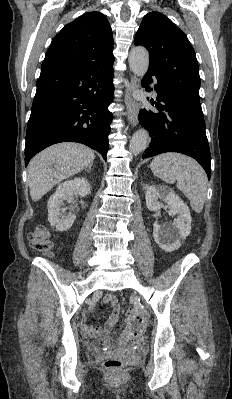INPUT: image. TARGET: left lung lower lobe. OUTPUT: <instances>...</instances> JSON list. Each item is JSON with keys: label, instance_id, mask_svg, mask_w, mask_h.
I'll return each instance as SVG.
<instances>
[{"label": "left lung lower lobe", "instance_id": "0a47b994", "mask_svg": "<svg viewBox=\"0 0 232 399\" xmlns=\"http://www.w3.org/2000/svg\"><path fill=\"white\" fill-rule=\"evenodd\" d=\"M152 76L157 79V102L151 99L150 103L159 112L156 113L152 108H144L139 112V122L151 136L150 145L142 158L164 152L183 153L196 159L210 179L211 155L203 115L197 113L149 70L141 81L147 91L151 90L147 86L153 82Z\"/></svg>", "mask_w": 232, "mask_h": 399}]
</instances>
